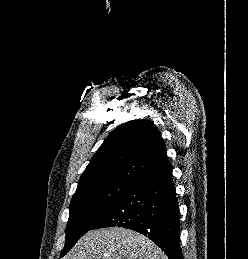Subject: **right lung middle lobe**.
<instances>
[{"label":"right lung middle lobe","instance_id":"obj_1","mask_svg":"<svg viewBox=\"0 0 248 259\" xmlns=\"http://www.w3.org/2000/svg\"><path fill=\"white\" fill-rule=\"evenodd\" d=\"M131 185L123 181H107L76 189L69 207L66 242L61 257L105 216Z\"/></svg>","mask_w":248,"mask_h":259}]
</instances>
